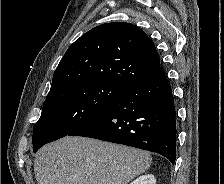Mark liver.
<instances>
[{"label": "liver", "mask_w": 224, "mask_h": 184, "mask_svg": "<svg viewBox=\"0 0 224 184\" xmlns=\"http://www.w3.org/2000/svg\"><path fill=\"white\" fill-rule=\"evenodd\" d=\"M151 162L140 149L66 136L38 151L34 171L38 184H128Z\"/></svg>", "instance_id": "6515ba94"}]
</instances>
